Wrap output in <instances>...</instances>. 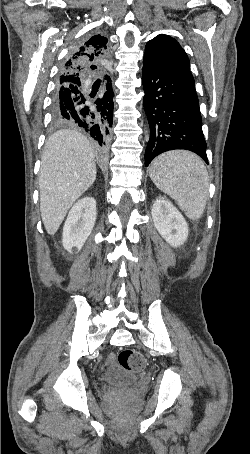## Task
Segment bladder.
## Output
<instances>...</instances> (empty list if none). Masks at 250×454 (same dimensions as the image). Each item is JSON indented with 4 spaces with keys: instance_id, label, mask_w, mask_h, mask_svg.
I'll list each match as a JSON object with an SVG mask.
<instances>
[{
    "instance_id": "obj_1",
    "label": "bladder",
    "mask_w": 250,
    "mask_h": 454,
    "mask_svg": "<svg viewBox=\"0 0 250 454\" xmlns=\"http://www.w3.org/2000/svg\"><path fill=\"white\" fill-rule=\"evenodd\" d=\"M104 380L113 387H126L135 384L139 380V376L131 374L121 366L112 365L106 369Z\"/></svg>"
}]
</instances>
